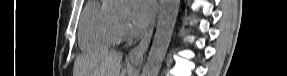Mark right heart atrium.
Here are the masks:
<instances>
[{"label": "right heart atrium", "mask_w": 287, "mask_h": 76, "mask_svg": "<svg viewBox=\"0 0 287 76\" xmlns=\"http://www.w3.org/2000/svg\"><path fill=\"white\" fill-rule=\"evenodd\" d=\"M130 32V25L127 21H120L119 22V34L120 37H125L129 34Z\"/></svg>", "instance_id": "obj_1"}]
</instances>
